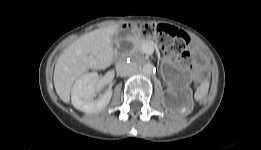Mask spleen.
I'll return each instance as SVG.
<instances>
[{"instance_id":"spleen-1","label":"spleen","mask_w":261,"mask_h":150,"mask_svg":"<svg viewBox=\"0 0 261 150\" xmlns=\"http://www.w3.org/2000/svg\"><path fill=\"white\" fill-rule=\"evenodd\" d=\"M208 89H209L208 82H204L203 84H201L200 87L195 92V100L196 101L201 100L208 92Z\"/></svg>"}]
</instances>
